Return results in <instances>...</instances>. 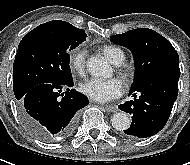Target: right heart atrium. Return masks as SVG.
<instances>
[{
	"mask_svg": "<svg viewBox=\"0 0 190 165\" xmlns=\"http://www.w3.org/2000/svg\"><path fill=\"white\" fill-rule=\"evenodd\" d=\"M86 56L87 52L83 49H76L69 56V66L71 70L79 76L85 75Z\"/></svg>",
	"mask_w": 190,
	"mask_h": 165,
	"instance_id": "right-heart-atrium-1",
	"label": "right heart atrium"
}]
</instances>
